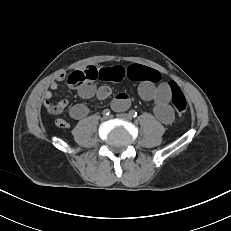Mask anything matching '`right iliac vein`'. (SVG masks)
Here are the masks:
<instances>
[{"label": "right iliac vein", "mask_w": 231, "mask_h": 231, "mask_svg": "<svg viewBox=\"0 0 231 231\" xmlns=\"http://www.w3.org/2000/svg\"><path fill=\"white\" fill-rule=\"evenodd\" d=\"M103 119L106 120V119H108V117L104 116Z\"/></svg>", "instance_id": "right-iliac-vein-1"}]
</instances>
